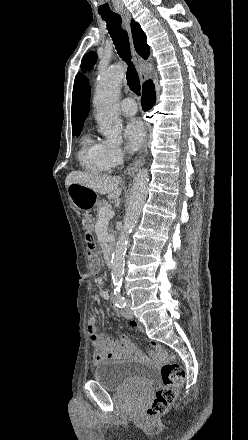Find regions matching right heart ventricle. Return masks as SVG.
<instances>
[{
  "instance_id": "obj_1",
  "label": "right heart ventricle",
  "mask_w": 248,
  "mask_h": 440,
  "mask_svg": "<svg viewBox=\"0 0 248 440\" xmlns=\"http://www.w3.org/2000/svg\"><path fill=\"white\" fill-rule=\"evenodd\" d=\"M78 158L82 168L90 173L102 174L111 171L105 159V144L90 135L83 137Z\"/></svg>"
}]
</instances>
